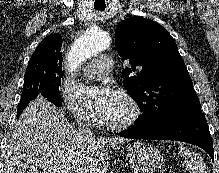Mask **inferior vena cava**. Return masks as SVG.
Instances as JSON below:
<instances>
[{
    "label": "inferior vena cava",
    "instance_id": "1",
    "mask_svg": "<svg viewBox=\"0 0 219 173\" xmlns=\"http://www.w3.org/2000/svg\"><path fill=\"white\" fill-rule=\"evenodd\" d=\"M77 126V131L80 138L92 139L94 137L91 123L88 121L86 116H80L77 118Z\"/></svg>",
    "mask_w": 219,
    "mask_h": 173
}]
</instances>
